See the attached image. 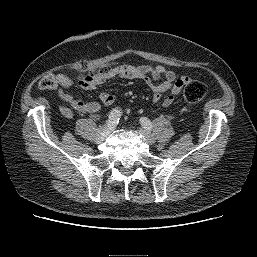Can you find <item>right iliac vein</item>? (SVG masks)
Here are the masks:
<instances>
[{
  "label": "right iliac vein",
  "mask_w": 257,
  "mask_h": 257,
  "mask_svg": "<svg viewBox=\"0 0 257 257\" xmlns=\"http://www.w3.org/2000/svg\"><path fill=\"white\" fill-rule=\"evenodd\" d=\"M109 135V128L107 126H100L97 130L95 141L100 143L101 141L105 140Z\"/></svg>",
  "instance_id": "obj_1"
}]
</instances>
